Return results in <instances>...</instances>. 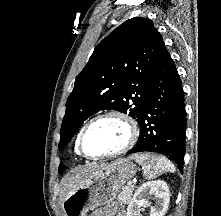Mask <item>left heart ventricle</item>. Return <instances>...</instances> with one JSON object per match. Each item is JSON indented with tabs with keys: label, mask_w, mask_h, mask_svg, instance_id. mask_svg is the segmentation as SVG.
I'll use <instances>...</instances> for the list:
<instances>
[{
	"label": "left heart ventricle",
	"mask_w": 221,
	"mask_h": 216,
	"mask_svg": "<svg viewBox=\"0 0 221 216\" xmlns=\"http://www.w3.org/2000/svg\"><path fill=\"white\" fill-rule=\"evenodd\" d=\"M126 126L115 118L94 123L84 136V150L89 155H99L120 148L127 139Z\"/></svg>",
	"instance_id": "left-heart-ventricle-1"
}]
</instances>
